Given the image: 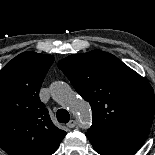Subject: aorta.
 Masks as SVG:
<instances>
[{
    "instance_id": "obj_1",
    "label": "aorta",
    "mask_w": 155,
    "mask_h": 155,
    "mask_svg": "<svg viewBox=\"0 0 155 155\" xmlns=\"http://www.w3.org/2000/svg\"><path fill=\"white\" fill-rule=\"evenodd\" d=\"M52 97L62 105H65L79 118L83 128H89L92 124L90 105L82 98L77 97L71 87L63 82L56 81L51 86Z\"/></svg>"
}]
</instances>
